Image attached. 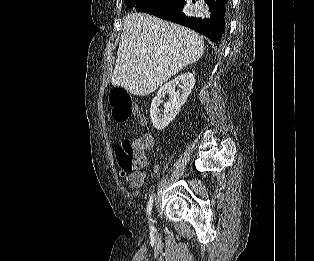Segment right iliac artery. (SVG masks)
Wrapping results in <instances>:
<instances>
[{"mask_svg": "<svg viewBox=\"0 0 314 261\" xmlns=\"http://www.w3.org/2000/svg\"><path fill=\"white\" fill-rule=\"evenodd\" d=\"M153 202H154V195L152 194L150 199H149V202H148V205H147V210H146L147 215L149 217V220H151L150 215H151V211H152Z\"/></svg>", "mask_w": 314, "mask_h": 261, "instance_id": "1", "label": "right iliac artery"}]
</instances>
